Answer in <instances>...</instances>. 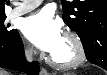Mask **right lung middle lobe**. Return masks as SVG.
<instances>
[{
	"mask_svg": "<svg viewBox=\"0 0 107 75\" xmlns=\"http://www.w3.org/2000/svg\"><path fill=\"white\" fill-rule=\"evenodd\" d=\"M5 19H6L5 14L0 15V41L8 40L17 33V30L15 29H8L10 25L9 24L6 25L4 23Z\"/></svg>",
	"mask_w": 107,
	"mask_h": 75,
	"instance_id": "right-lung-middle-lobe-1",
	"label": "right lung middle lobe"
}]
</instances>
